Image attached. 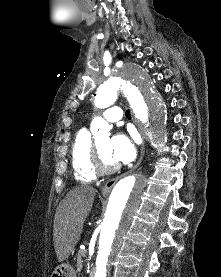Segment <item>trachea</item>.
Returning a JSON list of instances; mask_svg holds the SVG:
<instances>
[{
  "instance_id": "1",
  "label": "trachea",
  "mask_w": 221,
  "mask_h": 277,
  "mask_svg": "<svg viewBox=\"0 0 221 277\" xmlns=\"http://www.w3.org/2000/svg\"><path fill=\"white\" fill-rule=\"evenodd\" d=\"M125 115H126L127 118H131L130 110H127V111L125 112Z\"/></svg>"
}]
</instances>
